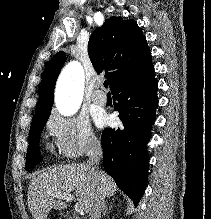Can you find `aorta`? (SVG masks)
<instances>
[{"instance_id":"aorta-1","label":"aorta","mask_w":211,"mask_h":219,"mask_svg":"<svg viewBox=\"0 0 211 219\" xmlns=\"http://www.w3.org/2000/svg\"><path fill=\"white\" fill-rule=\"evenodd\" d=\"M83 90V69L78 62H70L61 72L56 85L55 102L58 111L65 116L76 113L82 101Z\"/></svg>"}]
</instances>
